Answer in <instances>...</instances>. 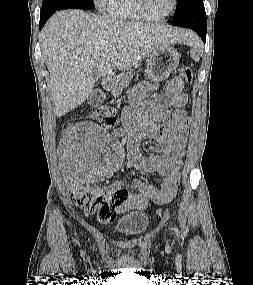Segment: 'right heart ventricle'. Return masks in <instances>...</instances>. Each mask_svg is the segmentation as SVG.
Masks as SVG:
<instances>
[{
    "label": "right heart ventricle",
    "mask_w": 253,
    "mask_h": 285,
    "mask_svg": "<svg viewBox=\"0 0 253 285\" xmlns=\"http://www.w3.org/2000/svg\"><path fill=\"white\" fill-rule=\"evenodd\" d=\"M105 10L110 17L117 20L139 21L143 19L137 11L135 0H107Z\"/></svg>",
    "instance_id": "1"
}]
</instances>
